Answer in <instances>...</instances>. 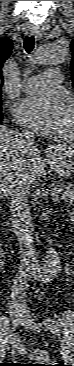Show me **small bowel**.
<instances>
[{
    "instance_id": "obj_1",
    "label": "small bowel",
    "mask_w": 74,
    "mask_h": 366,
    "mask_svg": "<svg viewBox=\"0 0 74 366\" xmlns=\"http://www.w3.org/2000/svg\"><path fill=\"white\" fill-rule=\"evenodd\" d=\"M55 272H56V270H50L49 271L50 276H53L55 274Z\"/></svg>"
}]
</instances>
